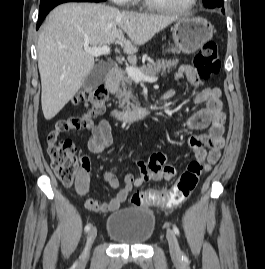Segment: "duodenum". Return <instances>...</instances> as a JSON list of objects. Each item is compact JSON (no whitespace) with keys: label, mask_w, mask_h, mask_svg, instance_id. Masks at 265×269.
Listing matches in <instances>:
<instances>
[{"label":"duodenum","mask_w":265,"mask_h":269,"mask_svg":"<svg viewBox=\"0 0 265 269\" xmlns=\"http://www.w3.org/2000/svg\"><path fill=\"white\" fill-rule=\"evenodd\" d=\"M120 78V71L118 68H112L106 78L105 85L113 91ZM150 109L146 107H138L127 111H113L112 115L121 122L131 123L146 118L150 114Z\"/></svg>","instance_id":"1"}]
</instances>
